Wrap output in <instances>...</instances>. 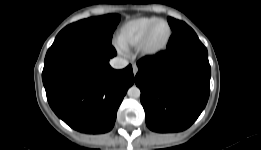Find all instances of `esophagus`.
<instances>
[{
    "instance_id": "34e87169",
    "label": "esophagus",
    "mask_w": 261,
    "mask_h": 150,
    "mask_svg": "<svg viewBox=\"0 0 261 150\" xmlns=\"http://www.w3.org/2000/svg\"><path fill=\"white\" fill-rule=\"evenodd\" d=\"M132 69H133V74H134V76L137 74V72H138V67H137V65L136 64H133L132 65Z\"/></svg>"
}]
</instances>
